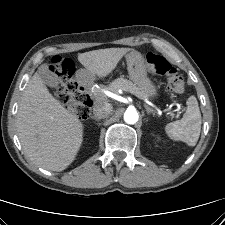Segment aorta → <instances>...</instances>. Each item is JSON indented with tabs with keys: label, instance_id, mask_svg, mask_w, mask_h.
I'll list each match as a JSON object with an SVG mask.
<instances>
[{
	"label": "aorta",
	"instance_id": "obj_1",
	"mask_svg": "<svg viewBox=\"0 0 225 225\" xmlns=\"http://www.w3.org/2000/svg\"><path fill=\"white\" fill-rule=\"evenodd\" d=\"M139 119V114L135 108H128L124 113V121L127 124H135Z\"/></svg>",
	"mask_w": 225,
	"mask_h": 225
}]
</instances>
